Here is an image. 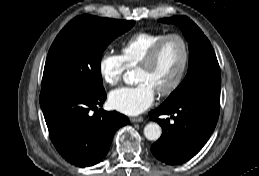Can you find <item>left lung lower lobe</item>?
Returning a JSON list of instances; mask_svg holds the SVG:
<instances>
[{
	"instance_id": "obj_1",
	"label": "left lung lower lobe",
	"mask_w": 259,
	"mask_h": 176,
	"mask_svg": "<svg viewBox=\"0 0 259 176\" xmlns=\"http://www.w3.org/2000/svg\"><path fill=\"white\" fill-rule=\"evenodd\" d=\"M220 100L197 96L174 105H161L149 113L162 127V135L152 147L154 156L169 165L190 160L211 136L219 116ZM160 115L170 118L160 119Z\"/></svg>"
}]
</instances>
